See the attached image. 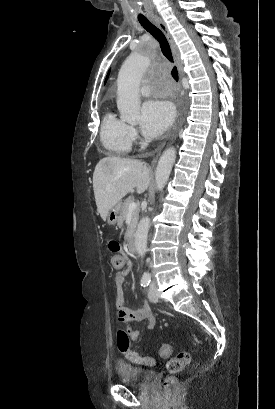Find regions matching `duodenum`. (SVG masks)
Returning a JSON list of instances; mask_svg holds the SVG:
<instances>
[{"instance_id":"duodenum-1","label":"duodenum","mask_w":275,"mask_h":409,"mask_svg":"<svg viewBox=\"0 0 275 409\" xmlns=\"http://www.w3.org/2000/svg\"><path fill=\"white\" fill-rule=\"evenodd\" d=\"M127 247L130 253L136 252L135 239L133 236L129 237L128 242H127Z\"/></svg>"}]
</instances>
